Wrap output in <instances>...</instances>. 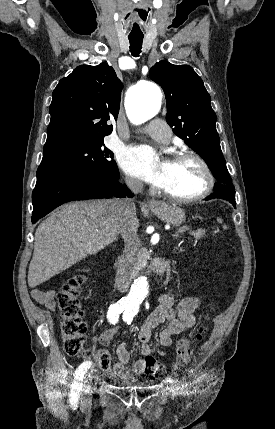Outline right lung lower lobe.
I'll use <instances>...</instances> for the list:
<instances>
[{
    "instance_id": "obj_1",
    "label": "right lung lower lobe",
    "mask_w": 275,
    "mask_h": 429,
    "mask_svg": "<svg viewBox=\"0 0 275 429\" xmlns=\"http://www.w3.org/2000/svg\"><path fill=\"white\" fill-rule=\"evenodd\" d=\"M119 176L102 174H71L48 180L35 186L32 195V223L51 212L59 205L73 201L95 198L133 197Z\"/></svg>"
}]
</instances>
